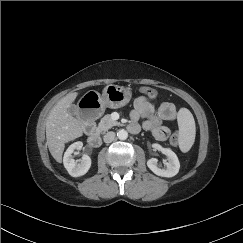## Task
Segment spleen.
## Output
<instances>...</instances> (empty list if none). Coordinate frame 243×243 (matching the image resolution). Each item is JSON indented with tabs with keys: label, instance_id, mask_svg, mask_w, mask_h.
<instances>
[{
	"label": "spleen",
	"instance_id": "3e777b00",
	"mask_svg": "<svg viewBox=\"0 0 243 243\" xmlns=\"http://www.w3.org/2000/svg\"><path fill=\"white\" fill-rule=\"evenodd\" d=\"M179 135V148L182 152H188L194 144L196 127L192 113L186 109L181 108L177 116Z\"/></svg>",
	"mask_w": 243,
	"mask_h": 243
}]
</instances>
